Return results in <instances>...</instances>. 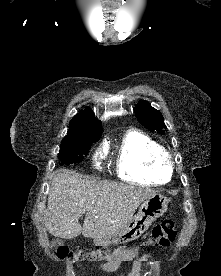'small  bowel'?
<instances>
[{"instance_id":"1","label":"small bowel","mask_w":221,"mask_h":276,"mask_svg":"<svg viewBox=\"0 0 221 276\" xmlns=\"http://www.w3.org/2000/svg\"><path fill=\"white\" fill-rule=\"evenodd\" d=\"M137 251V248H131L128 249V251L118 250L108 261L101 264L100 268L104 272H114L118 269L121 262L132 259L136 255ZM148 261V253L142 254V256L133 263L132 269L129 272L122 273L120 276H139Z\"/></svg>"}]
</instances>
